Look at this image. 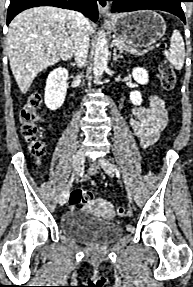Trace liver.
<instances>
[{"instance_id":"obj_1","label":"liver","mask_w":193,"mask_h":287,"mask_svg":"<svg viewBox=\"0 0 193 287\" xmlns=\"http://www.w3.org/2000/svg\"><path fill=\"white\" fill-rule=\"evenodd\" d=\"M76 13L41 6L17 15L10 23L7 48L10 67L22 93L30 88L43 69L74 53ZM94 26L89 22V35Z\"/></svg>"}]
</instances>
